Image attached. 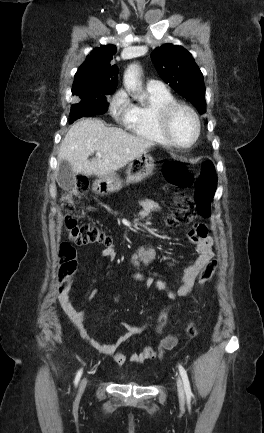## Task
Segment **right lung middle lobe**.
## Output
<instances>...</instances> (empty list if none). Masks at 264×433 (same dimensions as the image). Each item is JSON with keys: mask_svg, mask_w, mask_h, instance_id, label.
Returning a JSON list of instances; mask_svg holds the SVG:
<instances>
[{"mask_svg": "<svg viewBox=\"0 0 264 433\" xmlns=\"http://www.w3.org/2000/svg\"><path fill=\"white\" fill-rule=\"evenodd\" d=\"M108 94L111 93L79 98V101L71 106V122L82 116L89 117L96 114L106 113L108 110V103L105 99V95Z\"/></svg>", "mask_w": 264, "mask_h": 433, "instance_id": "right-lung-middle-lobe-1", "label": "right lung middle lobe"}]
</instances>
